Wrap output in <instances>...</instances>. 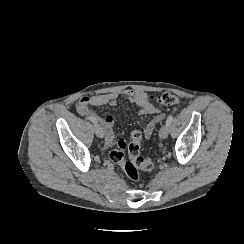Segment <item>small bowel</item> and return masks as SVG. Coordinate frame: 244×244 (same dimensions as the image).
<instances>
[{
    "label": "small bowel",
    "instance_id": "small-bowel-1",
    "mask_svg": "<svg viewBox=\"0 0 244 244\" xmlns=\"http://www.w3.org/2000/svg\"><path fill=\"white\" fill-rule=\"evenodd\" d=\"M123 95L129 102L138 107L139 115L152 117L144 128V135L146 137H150L155 127L163 121L164 113L160 108L150 102L149 96L145 92L138 90H126ZM117 101V93H107L93 96H83L76 104V110L80 116L83 117L84 115L89 114L100 122L104 129V144L106 148H110L115 141L114 117L111 114L100 116L92 111L90 107H100L104 105L116 106Z\"/></svg>",
    "mask_w": 244,
    "mask_h": 244
}]
</instances>
